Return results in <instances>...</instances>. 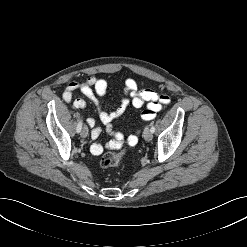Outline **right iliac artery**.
Returning a JSON list of instances; mask_svg holds the SVG:
<instances>
[{
	"mask_svg": "<svg viewBox=\"0 0 247 247\" xmlns=\"http://www.w3.org/2000/svg\"><path fill=\"white\" fill-rule=\"evenodd\" d=\"M82 125H83V122H82V120L78 123V125H77V133H79L80 131H81V129H82Z\"/></svg>",
	"mask_w": 247,
	"mask_h": 247,
	"instance_id": "obj_1",
	"label": "right iliac artery"
}]
</instances>
